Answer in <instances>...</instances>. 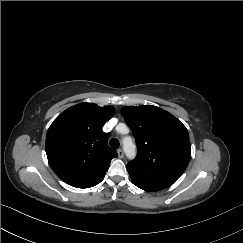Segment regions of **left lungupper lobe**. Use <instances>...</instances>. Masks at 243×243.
<instances>
[{
    "label": "left lung upper lobe",
    "instance_id": "left-lung-upper-lobe-1",
    "mask_svg": "<svg viewBox=\"0 0 243 243\" xmlns=\"http://www.w3.org/2000/svg\"><path fill=\"white\" fill-rule=\"evenodd\" d=\"M121 113L138 148L137 157L126 166L132 181L179 178L191 157L186 127L169 112L152 105L124 107Z\"/></svg>",
    "mask_w": 243,
    "mask_h": 243
}]
</instances>
